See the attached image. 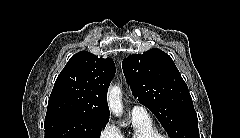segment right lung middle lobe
I'll return each mask as SVG.
<instances>
[{"instance_id":"obj_1","label":"right lung middle lobe","mask_w":240,"mask_h":138,"mask_svg":"<svg viewBox=\"0 0 240 138\" xmlns=\"http://www.w3.org/2000/svg\"><path fill=\"white\" fill-rule=\"evenodd\" d=\"M106 121L60 114L45 117V138H100Z\"/></svg>"}]
</instances>
